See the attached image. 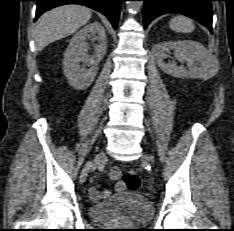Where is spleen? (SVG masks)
Instances as JSON below:
<instances>
[{
    "mask_svg": "<svg viewBox=\"0 0 234 231\" xmlns=\"http://www.w3.org/2000/svg\"><path fill=\"white\" fill-rule=\"evenodd\" d=\"M169 27L176 32L190 33L195 29V25L191 19L185 16H175L169 22Z\"/></svg>",
    "mask_w": 234,
    "mask_h": 231,
    "instance_id": "spleen-1",
    "label": "spleen"
}]
</instances>
